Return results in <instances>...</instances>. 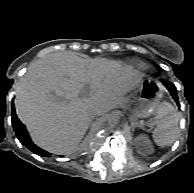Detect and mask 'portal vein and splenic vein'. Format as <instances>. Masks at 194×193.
<instances>
[{"instance_id": "18ae733b", "label": "portal vein and splenic vein", "mask_w": 194, "mask_h": 193, "mask_svg": "<svg viewBox=\"0 0 194 193\" xmlns=\"http://www.w3.org/2000/svg\"><path fill=\"white\" fill-rule=\"evenodd\" d=\"M139 123H140L141 125H143V124H144V121H140Z\"/></svg>"}]
</instances>
